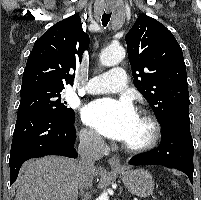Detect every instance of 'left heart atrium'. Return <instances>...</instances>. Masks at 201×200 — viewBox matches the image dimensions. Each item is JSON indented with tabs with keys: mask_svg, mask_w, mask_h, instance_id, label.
I'll return each instance as SVG.
<instances>
[{
	"mask_svg": "<svg viewBox=\"0 0 201 200\" xmlns=\"http://www.w3.org/2000/svg\"><path fill=\"white\" fill-rule=\"evenodd\" d=\"M137 117L133 105L127 100L100 99L83 111V120L100 134L117 141H125Z\"/></svg>",
	"mask_w": 201,
	"mask_h": 200,
	"instance_id": "left-heart-atrium-1",
	"label": "left heart atrium"
}]
</instances>
